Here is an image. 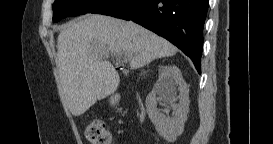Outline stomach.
Listing matches in <instances>:
<instances>
[{
	"label": "stomach",
	"mask_w": 273,
	"mask_h": 144,
	"mask_svg": "<svg viewBox=\"0 0 273 144\" xmlns=\"http://www.w3.org/2000/svg\"><path fill=\"white\" fill-rule=\"evenodd\" d=\"M118 100H119V98H118V96L117 95H114V96H112L111 98H110V102H111V104H116L117 102H118Z\"/></svg>",
	"instance_id": "1"
}]
</instances>
